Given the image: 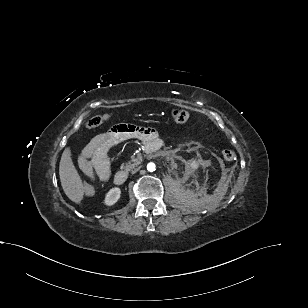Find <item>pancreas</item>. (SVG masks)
Instances as JSON below:
<instances>
[{"mask_svg": "<svg viewBox=\"0 0 308 308\" xmlns=\"http://www.w3.org/2000/svg\"><path fill=\"white\" fill-rule=\"evenodd\" d=\"M141 163V158H132L131 162H127L125 164L121 165V168L130 171L134 169L136 166H138Z\"/></svg>", "mask_w": 308, "mask_h": 308, "instance_id": "cf45deb5", "label": "pancreas"}]
</instances>
